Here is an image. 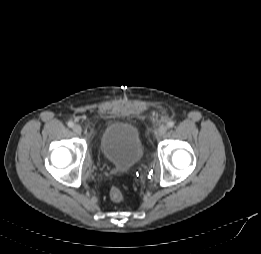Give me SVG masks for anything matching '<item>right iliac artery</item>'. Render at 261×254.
<instances>
[{"mask_svg": "<svg viewBox=\"0 0 261 254\" xmlns=\"http://www.w3.org/2000/svg\"><path fill=\"white\" fill-rule=\"evenodd\" d=\"M67 125H68V127L72 128V127L74 126V123H73L72 121H69V122L67 123Z\"/></svg>", "mask_w": 261, "mask_h": 254, "instance_id": "right-iliac-artery-1", "label": "right iliac artery"}]
</instances>
